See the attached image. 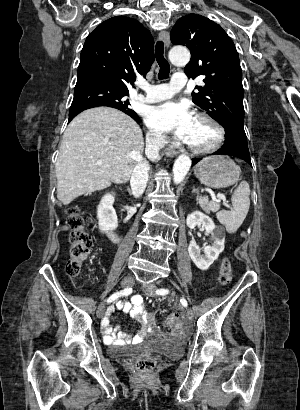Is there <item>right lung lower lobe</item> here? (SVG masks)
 <instances>
[{"label": "right lung lower lobe", "mask_w": 300, "mask_h": 410, "mask_svg": "<svg viewBox=\"0 0 300 410\" xmlns=\"http://www.w3.org/2000/svg\"><path fill=\"white\" fill-rule=\"evenodd\" d=\"M84 110H85V109H84ZM119 110H121V111L125 112L126 114H128L129 116H131V117H132L135 121H137L138 123L140 122V119H139V117H138L137 114L131 113V112H128V111H125V110H122V109H119ZM82 111H83V110H80V111H78V112L69 114V122H70L77 114H79V113L82 112Z\"/></svg>", "instance_id": "98d812e1"}]
</instances>
